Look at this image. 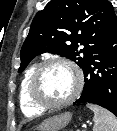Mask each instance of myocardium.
<instances>
[{
  "label": "myocardium",
  "mask_w": 117,
  "mask_h": 131,
  "mask_svg": "<svg viewBox=\"0 0 117 131\" xmlns=\"http://www.w3.org/2000/svg\"><path fill=\"white\" fill-rule=\"evenodd\" d=\"M52 65H63L68 68H70L76 76V87L73 91V93L66 99L59 101V102H49L45 101L42 98L39 97L37 93V83L40 77V74L42 71ZM84 85V77L83 73L80 70V68L73 63L72 61H69L67 59H62V58H53V59H48L40 64H38L31 75L30 81H29V96L31 98V101L39 108L42 109H57V108H62L64 106H67L71 104L73 101L76 100V98L80 95Z\"/></svg>",
  "instance_id": "myocardium-1"
}]
</instances>
